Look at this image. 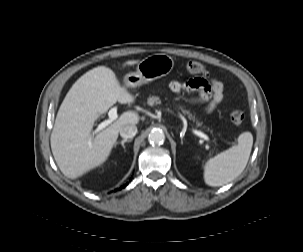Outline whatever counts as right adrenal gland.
Returning <instances> with one entry per match:
<instances>
[{
	"label": "right adrenal gland",
	"mask_w": 303,
	"mask_h": 252,
	"mask_svg": "<svg viewBox=\"0 0 303 252\" xmlns=\"http://www.w3.org/2000/svg\"><path fill=\"white\" fill-rule=\"evenodd\" d=\"M131 141H132V139H123V140L120 141V142H116V143H115V147H116L117 144H121V146L125 149L124 143H125V142H131Z\"/></svg>",
	"instance_id": "right-adrenal-gland-1"
}]
</instances>
